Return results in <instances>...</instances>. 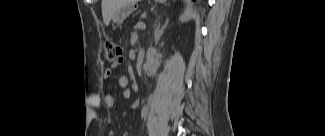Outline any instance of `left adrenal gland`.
I'll return each instance as SVG.
<instances>
[{
  "instance_id": "a2214340",
  "label": "left adrenal gland",
  "mask_w": 325,
  "mask_h": 136,
  "mask_svg": "<svg viewBox=\"0 0 325 136\" xmlns=\"http://www.w3.org/2000/svg\"><path fill=\"white\" fill-rule=\"evenodd\" d=\"M167 23H168V20L165 22V24L160 27V23H156L155 24V31H154V41H155V44H158L166 26H167Z\"/></svg>"
}]
</instances>
